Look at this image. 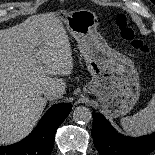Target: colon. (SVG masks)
Segmentation results:
<instances>
[{
  "label": "colon",
  "mask_w": 155,
  "mask_h": 155,
  "mask_svg": "<svg viewBox=\"0 0 155 155\" xmlns=\"http://www.w3.org/2000/svg\"><path fill=\"white\" fill-rule=\"evenodd\" d=\"M116 25L121 37L129 42L130 46L142 53H149L150 47L141 38L137 37L134 29L128 25L127 17L120 14L116 18Z\"/></svg>",
  "instance_id": "colon-1"
}]
</instances>
